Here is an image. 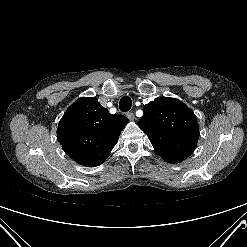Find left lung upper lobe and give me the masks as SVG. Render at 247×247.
Returning a JSON list of instances; mask_svg holds the SVG:
<instances>
[{"label":"left lung upper lobe","mask_w":247,"mask_h":247,"mask_svg":"<svg viewBox=\"0 0 247 247\" xmlns=\"http://www.w3.org/2000/svg\"><path fill=\"white\" fill-rule=\"evenodd\" d=\"M138 126L168 163L185 160L195 149L199 125L193 111L175 98L158 97L143 107Z\"/></svg>","instance_id":"1"}]
</instances>
